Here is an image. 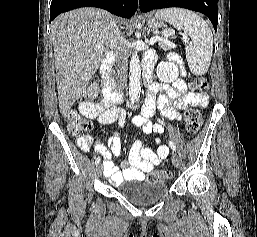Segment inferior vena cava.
I'll use <instances>...</instances> for the list:
<instances>
[{"label":"inferior vena cava","instance_id":"602c4592","mask_svg":"<svg viewBox=\"0 0 257 237\" xmlns=\"http://www.w3.org/2000/svg\"><path fill=\"white\" fill-rule=\"evenodd\" d=\"M112 34L110 39V48L114 52L117 60V83L120 91H123L127 82V69L129 51L126 40L122 36L119 27L114 21L112 24Z\"/></svg>","mask_w":257,"mask_h":237}]
</instances>
